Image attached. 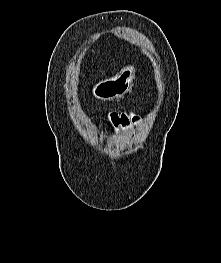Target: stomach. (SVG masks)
I'll use <instances>...</instances> for the list:
<instances>
[{
	"instance_id": "0dacf381",
	"label": "stomach",
	"mask_w": 221,
	"mask_h": 263,
	"mask_svg": "<svg viewBox=\"0 0 221 263\" xmlns=\"http://www.w3.org/2000/svg\"><path fill=\"white\" fill-rule=\"evenodd\" d=\"M134 78V66L124 67L115 76L96 83L92 88V94L104 101L121 98L132 88Z\"/></svg>"
}]
</instances>
